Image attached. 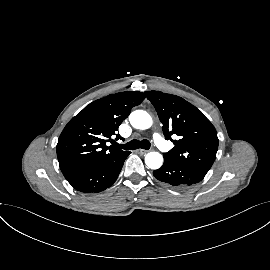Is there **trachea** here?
<instances>
[{
	"instance_id": "obj_1",
	"label": "trachea",
	"mask_w": 270,
	"mask_h": 270,
	"mask_svg": "<svg viewBox=\"0 0 270 270\" xmlns=\"http://www.w3.org/2000/svg\"><path fill=\"white\" fill-rule=\"evenodd\" d=\"M150 146H151L150 142L146 139H143L142 141L134 139L123 145L116 144L115 148L124 149V150H135L138 148H142V149L148 150Z\"/></svg>"
}]
</instances>
